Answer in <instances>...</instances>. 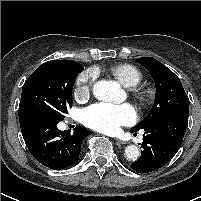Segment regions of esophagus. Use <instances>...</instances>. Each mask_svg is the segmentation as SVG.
Wrapping results in <instances>:
<instances>
[{"mask_svg":"<svg viewBox=\"0 0 201 201\" xmlns=\"http://www.w3.org/2000/svg\"><path fill=\"white\" fill-rule=\"evenodd\" d=\"M116 143L117 144H126L125 141H122V140H119V139H115Z\"/></svg>","mask_w":201,"mask_h":201,"instance_id":"esophagus-1","label":"esophagus"}]
</instances>
